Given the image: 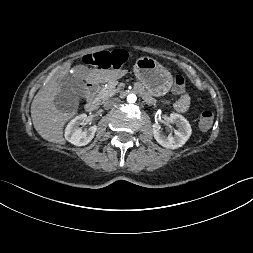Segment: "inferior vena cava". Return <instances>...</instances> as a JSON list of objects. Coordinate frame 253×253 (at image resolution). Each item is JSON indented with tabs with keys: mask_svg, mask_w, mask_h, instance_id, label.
I'll list each match as a JSON object with an SVG mask.
<instances>
[{
	"mask_svg": "<svg viewBox=\"0 0 253 253\" xmlns=\"http://www.w3.org/2000/svg\"><path fill=\"white\" fill-rule=\"evenodd\" d=\"M117 102H119V98H112L105 100L103 104L106 108H110L112 106H116Z\"/></svg>",
	"mask_w": 253,
	"mask_h": 253,
	"instance_id": "602c4592",
	"label": "inferior vena cava"
}]
</instances>
